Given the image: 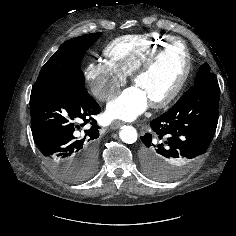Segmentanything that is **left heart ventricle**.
<instances>
[{
    "instance_id": "b2bd125f",
    "label": "left heart ventricle",
    "mask_w": 236,
    "mask_h": 236,
    "mask_svg": "<svg viewBox=\"0 0 236 236\" xmlns=\"http://www.w3.org/2000/svg\"><path fill=\"white\" fill-rule=\"evenodd\" d=\"M183 69V48L181 45H174L137 79L135 85L144 92L149 101L160 99L175 86Z\"/></svg>"
}]
</instances>
